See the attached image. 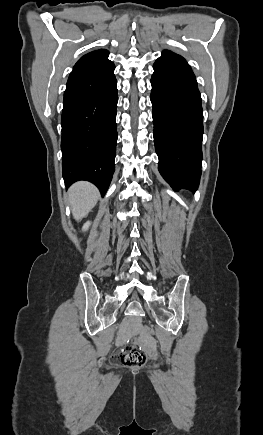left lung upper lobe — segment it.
I'll list each match as a JSON object with an SVG mask.
<instances>
[{"instance_id":"1","label":"left lung upper lobe","mask_w":263,"mask_h":435,"mask_svg":"<svg viewBox=\"0 0 263 435\" xmlns=\"http://www.w3.org/2000/svg\"><path fill=\"white\" fill-rule=\"evenodd\" d=\"M160 59H164L170 63H174V64H178V65L190 68L189 64L186 62V60L182 56H180L176 53H173L169 50L163 51Z\"/></svg>"}]
</instances>
